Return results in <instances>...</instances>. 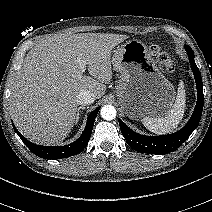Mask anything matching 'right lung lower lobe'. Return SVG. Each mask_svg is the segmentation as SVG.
Returning <instances> with one entry per match:
<instances>
[{
  "label": "right lung lower lobe",
  "mask_w": 212,
  "mask_h": 212,
  "mask_svg": "<svg viewBox=\"0 0 212 212\" xmlns=\"http://www.w3.org/2000/svg\"><path fill=\"white\" fill-rule=\"evenodd\" d=\"M100 107L95 109L88 117L86 127L80 136V138L73 143L66 146H40L28 141L13 125L15 132L24 142V144L32 151L35 155L45 159H61L70 157L80 153L88 144L90 139L94 120Z\"/></svg>",
  "instance_id": "1"
}]
</instances>
